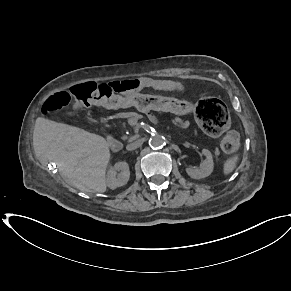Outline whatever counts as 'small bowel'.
Masks as SVG:
<instances>
[{
	"mask_svg": "<svg viewBox=\"0 0 291 291\" xmlns=\"http://www.w3.org/2000/svg\"><path fill=\"white\" fill-rule=\"evenodd\" d=\"M129 83L131 89L129 94L131 96L137 95L138 91L142 88H151L160 91H175L179 92L183 90L181 83L172 80H162V79H128L124 80ZM119 108H122L121 106ZM171 113V112H168Z\"/></svg>",
	"mask_w": 291,
	"mask_h": 291,
	"instance_id": "small-bowel-1",
	"label": "small bowel"
}]
</instances>
